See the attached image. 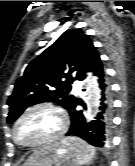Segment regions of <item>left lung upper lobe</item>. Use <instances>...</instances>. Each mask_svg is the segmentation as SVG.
Wrapping results in <instances>:
<instances>
[{
  "mask_svg": "<svg viewBox=\"0 0 135 166\" xmlns=\"http://www.w3.org/2000/svg\"><path fill=\"white\" fill-rule=\"evenodd\" d=\"M96 55L98 52L88 35L76 29L65 31L29 63L15 83L8 99L7 122H14L27 107L43 102H54L69 110L75 100L69 95L71 84L82 79ZM72 73L76 74L75 78ZM62 78L67 79L62 81Z\"/></svg>",
  "mask_w": 135,
  "mask_h": 166,
  "instance_id": "left-lung-upper-lobe-1",
  "label": "left lung upper lobe"
}]
</instances>
